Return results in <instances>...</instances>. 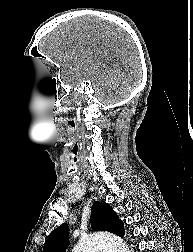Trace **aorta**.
I'll list each match as a JSON object with an SVG mask.
<instances>
[{
	"mask_svg": "<svg viewBox=\"0 0 193 252\" xmlns=\"http://www.w3.org/2000/svg\"><path fill=\"white\" fill-rule=\"evenodd\" d=\"M130 252L128 245L118 236L93 234L82 238L72 252Z\"/></svg>",
	"mask_w": 193,
	"mask_h": 252,
	"instance_id": "1",
	"label": "aorta"
}]
</instances>
